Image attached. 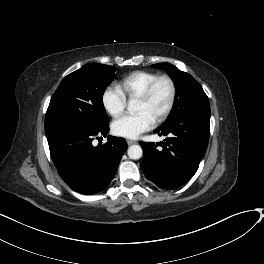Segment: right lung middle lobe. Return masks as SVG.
Instances as JSON below:
<instances>
[{
	"label": "right lung middle lobe",
	"mask_w": 264,
	"mask_h": 264,
	"mask_svg": "<svg viewBox=\"0 0 264 264\" xmlns=\"http://www.w3.org/2000/svg\"><path fill=\"white\" fill-rule=\"evenodd\" d=\"M116 68L91 63L67 75L53 94L45 117V131L63 127L97 129L108 123L103 94Z\"/></svg>",
	"instance_id": "obj_1"
}]
</instances>
